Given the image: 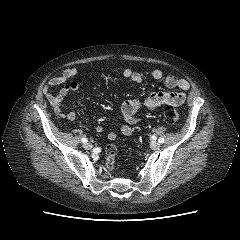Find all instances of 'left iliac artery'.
Returning a JSON list of instances; mask_svg holds the SVG:
<instances>
[{"label":"left iliac artery","mask_w":240,"mask_h":240,"mask_svg":"<svg viewBox=\"0 0 240 240\" xmlns=\"http://www.w3.org/2000/svg\"><path fill=\"white\" fill-rule=\"evenodd\" d=\"M158 142H159V143H163V142H164V138H159V139H158Z\"/></svg>","instance_id":"44dca946"}]
</instances>
